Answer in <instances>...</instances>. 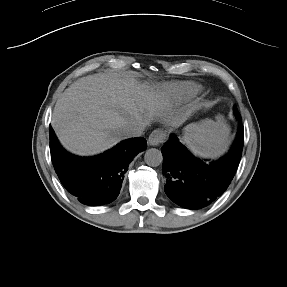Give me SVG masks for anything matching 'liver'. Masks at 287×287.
Returning a JSON list of instances; mask_svg holds the SVG:
<instances>
[{"instance_id": "obj_1", "label": "liver", "mask_w": 287, "mask_h": 287, "mask_svg": "<svg viewBox=\"0 0 287 287\" xmlns=\"http://www.w3.org/2000/svg\"><path fill=\"white\" fill-rule=\"evenodd\" d=\"M170 107L168 99L153 95L133 78L97 73L64 91L54 107L52 127L68 151L90 156L124 140L125 125L150 124L153 117H166ZM169 124L180 123L174 119Z\"/></svg>"}]
</instances>
